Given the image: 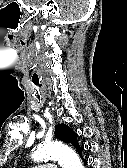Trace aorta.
Masks as SVG:
<instances>
[{
    "mask_svg": "<svg viewBox=\"0 0 127 168\" xmlns=\"http://www.w3.org/2000/svg\"><path fill=\"white\" fill-rule=\"evenodd\" d=\"M34 161L55 160L63 168H84L76 152L60 142H48L40 144L34 152Z\"/></svg>",
    "mask_w": 127,
    "mask_h": 168,
    "instance_id": "1",
    "label": "aorta"
}]
</instances>
